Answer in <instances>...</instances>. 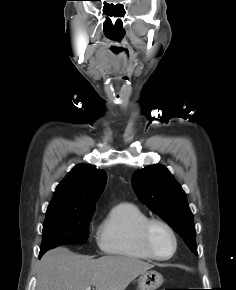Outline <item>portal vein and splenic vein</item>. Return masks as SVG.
Returning <instances> with one entry per match:
<instances>
[{
	"instance_id": "1",
	"label": "portal vein and splenic vein",
	"mask_w": 236,
	"mask_h": 290,
	"mask_svg": "<svg viewBox=\"0 0 236 290\" xmlns=\"http://www.w3.org/2000/svg\"><path fill=\"white\" fill-rule=\"evenodd\" d=\"M85 290H91V287H87Z\"/></svg>"
}]
</instances>
